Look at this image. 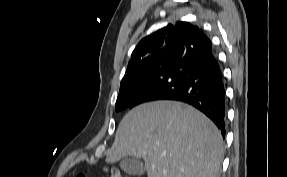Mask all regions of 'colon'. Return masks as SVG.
I'll use <instances>...</instances> for the list:
<instances>
[{
    "label": "colon",
    "mask_w": 287,
    "mask_h": 177,
    "mask_svg": "<svg viewBox=\"0 0 287 177\" xmlns=\"http://www.w3.org/2000/svg\"><path fill=\"white\" fill-rule=\"evenodd\" d=\"M105 173L109 177H126V175L123 173V171H121L118 168H108V169L105 170ZM75 177H85V174L78 173V174H76Z\"/></svg>",
    "instance_id": "5ec220e1"
}]
</instances>
